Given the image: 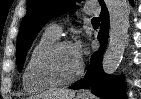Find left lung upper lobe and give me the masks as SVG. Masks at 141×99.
<instances>
[{
  "mask_svg": "<svg viewBox=\"0 0 141 99\" xmlns=\"http://www.w3.org/2000/svg\"><path fill=\"white\" fill-rule=\"evenodd\" d=\"M101 6L105 5L99 0ZM74 0H29L27 14L21 23L17 40V64L24 65L27 51L42 26L57 14L75 10Z\"/></svg>",
  "mask_w": 141,
  "mask_h": 99,
  "instance_id": "left-lung-upper-lobe-1",
  "label": "left lung upper lobe"
}]
</instances>
